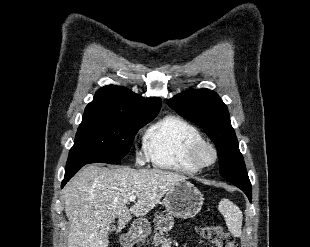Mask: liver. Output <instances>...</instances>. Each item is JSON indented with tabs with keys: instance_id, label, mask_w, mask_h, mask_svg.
<instances>
[{
	"instance_id": "obj_1",
	"label": "liver",
	"mask_w": 310,
	"mask_h": 247,
	"mask_svg": "<svg viewBox=\"0 0 310 247\" xmlns=\"http://www.w3.org/2000/svg\"><path fill=\"white\" fill-rule=\"evenodd\" d=\"M186 176L159 169L107 168L97 164L83 168L63 189L70 222L68 247H108L111 224L118 231L132 219L150 212L160 199ZM137 202L128 209L129 197Z\"/></svg>"
}]
</instances>
